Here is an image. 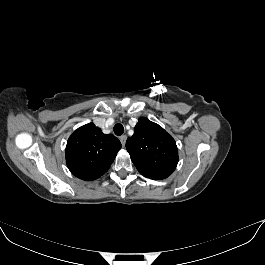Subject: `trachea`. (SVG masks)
<instances>
[{
    "instance_id": "3493384b",
    "label": "trachea",
    "mask_w": 265,
    "mask_h": 265,
    "mask_svg": "<svg viewBox=\"0 0 265 265\" xmlns=\"http://www.w3.org/2000/svg\"><path fill=\"white\" fill-rule=\"evenodd\" d=\"M123 132H124V127H123V125H121V124L118 123V124H116V125L114 126V133H115L117 136L122 135Z\"/></svg>"
}]
</instances>
